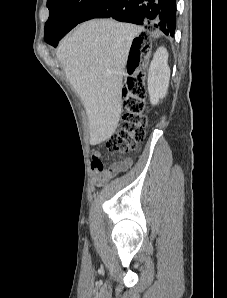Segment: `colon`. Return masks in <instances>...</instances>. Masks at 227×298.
Returning a JSON list of instances; mask_svg holds the SVG:
<instances>
[{
  "mask_svg": "<svg viewBox=\"0 0 227 298\" xmlns=\"http://www.w3.org/2000/svg\"><path fill=\"white\" fill-rule=\"evenodd\" d=\"M150 49L149 37L145 34L133 42L127 65L129 74L122 88L121 123L119 129L106 142L107 149L111 153L133 152L145 137L147 124L145 73L138 68L141 57L148 54Z\"/></svg>",
  "mask_w": 227,
  "mask_h": 298,
  "instance_id": "obj_1",
  "label": "colon"
}]
</instances>
